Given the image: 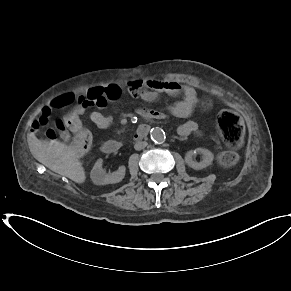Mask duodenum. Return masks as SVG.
Segmentation results:
<instances>
[{"instance_id": "obj_1", "label": "duodenum", "mask_w": 291, "mask_h": 291, "mask_svg": "<svg viewBox=\"0 0 291 291\" xmlns=\"http://www.w3.org/2000/svg\"><path fill=\"white\" fill-rule=\"evenodd\" d=\"M148 132H149L148 126L141 125L138 128L136 134L134 135V140L138 141L143 139L148 134ZM101 148L104 153L112 154L119 151V149L121 148V144L116 140H107L103 142Z\"/></svg>"}]
</instances>
